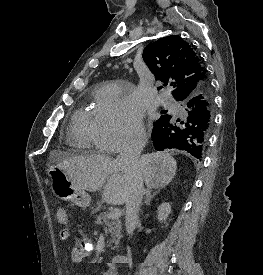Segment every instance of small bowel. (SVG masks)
Here are the masks:
<instances>
[{"mask_svg": "<svg viewBox=\"0 0 263 275\" xmlns=\"http://www.w3.org/2000/svg\"><path fill=\"white\" fill-rule=\"evenodd\" d=\"M71 236V231L67 228L61 231V238L68 240ZM93 246L89 238H80L75 246L70 251V260L73 263H82L92 252ZM102 275H116V269H112L109 265L103 271Z\"/></svg>", "mask_w": 263, "mask_h": 275, "instance_id": "small-bowel-1", "label": "small bowel"}]
</instances>
